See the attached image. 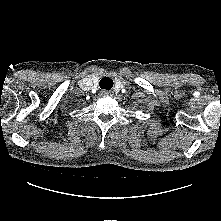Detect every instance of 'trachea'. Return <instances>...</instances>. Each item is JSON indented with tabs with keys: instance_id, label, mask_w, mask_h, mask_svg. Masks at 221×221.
<instances>
[{
	"instance_id": "1",
	"label": "trachea",
	"mask_w": 221,
	"mask_h": 221,
	"mask_svg": "<svg viewBox=\"0 0 221 221\" xmlns=\"http://www.w3.org/2000/svg\"><path fill=\"white\" fill-rule=\"evenodd\" d=\"M99 86L101 89L110 90L113 87V80L110 77H103L99 82Z\"/></svg>"
}]
</instances>
